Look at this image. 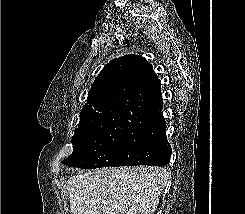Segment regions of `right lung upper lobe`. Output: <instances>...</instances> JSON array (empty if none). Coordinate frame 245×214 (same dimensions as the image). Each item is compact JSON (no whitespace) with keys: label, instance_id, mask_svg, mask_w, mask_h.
I'll list each match as a JSON object with an SVG mask.
<instances>
[{"label":"right lung upper lobe","instance_id":"cb5924a9","mask_svg":"<svg viewBox=\"0 0 245 214\" xmlns=\"http://www.w3.org/2000/svg\"><path fill=\"white\" fill-rule=\"evenodd\" d=\"M161 91L150 63L134 54L113 59L95 78L82 108L76 135L131 127L142 98Z\"/></svg>","mask_w":245,"mask_h":214}]
</instances>
